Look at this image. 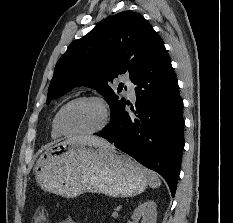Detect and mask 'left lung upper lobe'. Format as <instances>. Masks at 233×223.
Wrapping results in <instances>:
<instances>
[{
    "label": "left lung upper lobe",
    "instance_id": "5c2ea615",
    "mask_svg": "<svg viewBox=\"0 0 233 223\" xmlns=\"http://www.w3.org/2000/svg\"><path fill=\"white\" fill-rule=\"evenodd\" d=\"M160 37L141 14L123 11L71 44L58 60L47 104L75 86L97 89L109 102L111 119L125 104L109 86L119 74L133 82Z\"/></svg>",
    "mask_w": 233,
    "mask_h": 223
}]
</instances>
